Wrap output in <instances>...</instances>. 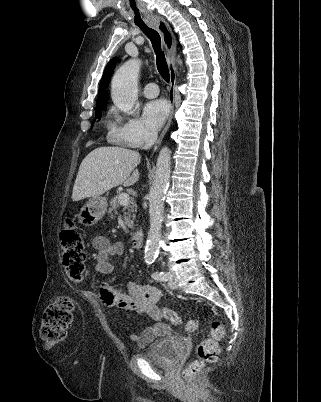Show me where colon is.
<instances>
[{
	"label": "colon",
	"mask_w": 321,
	"mask_h": 402,
	"mask_svg": "<svg viewBox=\"0 0 321 402\" xmlns=\"http://www.w3.org/2000/svg\"><path fill=\"white\" fill-rule=\"evenodd\" d=\"M61 244L66 275L71 281L80 282L85 264V244L82 233L70 218L67 219V226L61 232ZM74 309V300L69 296H60L46 307L40 327V336L47 347H53L65 340ZM173 318L178 319L177 315H174ZM196 327V321H190L187 324L189 330H194ZM224 336L223 325L219 321H214L211 326V337L198 344L196 358L183 373L186 380H192L206 363H213L218 359L217 341L223 339Z\"/></svg>",
	"instance_id": "obj_1"
}]
</instances>
